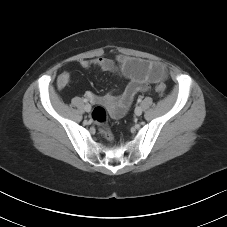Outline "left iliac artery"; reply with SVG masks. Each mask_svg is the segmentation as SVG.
Instances as JSON below:
<instances>
[{
  "label": "left iliac artery",
  "instance_id": "44dca946",
  "mask_svg": "<svg viewBox=\"0 0 227 227\" xmlns=\"http://www.w3.org/2000/svg\"><path fill=\"white\" fill-rule=\"evenodd\" d=\"M141 101H142V99L141 98H138L137 102L140 103Z\"/></svg>",
  "mask_w": 227,
  "mask_h": 227
}]
</instances>
